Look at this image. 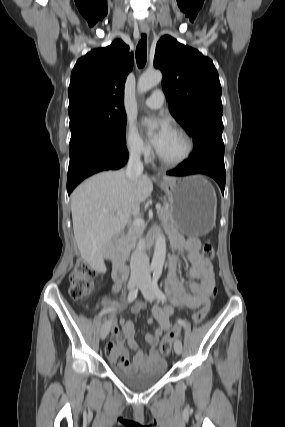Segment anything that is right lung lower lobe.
I'll use <instances>...</instances> for the list:
<instances>
[{"label": "right lung lower lobe", "mask_w": 285, "mask_h": 427, "mask_svg": "<svg viewBox=\"0 0 285 427\" xmlns=\"http://www.w3.org/2000/svg\"><path fill=\"white\" fill-rule=\"evenodd\" d=\"M128 160L126 147L119 148L100 141H89L71 155L67 176L68 194L85 178L104 170L123 167Z\"/></svg>", "instance_id": "98d812e1"}]
</instances>
